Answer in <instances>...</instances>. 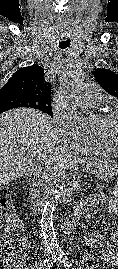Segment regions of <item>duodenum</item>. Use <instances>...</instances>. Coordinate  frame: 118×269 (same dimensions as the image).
Masks as SVG:
<instances>
[{"instance_id":"1","label":"duodenum","mask_w":118,"mask_h":269,"mask_svg":"<svg viewBox=\"0 0 118 269\" xmlns=\"http://www.w3.org/2000/svg\"><path fill=\"white\" fill-rule=\"evenodd\" d=\"M79 219L80 215L77 214L73 219L62 222L60 226L63 232L66 234L72 233L76 229Z\"/></svg>"}]
</instances>
